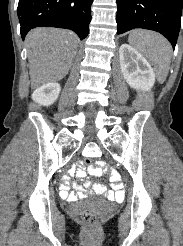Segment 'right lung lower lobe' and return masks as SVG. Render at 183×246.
<instances>
[{
  "instance_id": "1",
  "label": "right lung lower lobe",
  "mask_w": 183,
  "mask_h": 246,
  "mask_svg": "<svg viewBox=\"0 0 183 246\" xmlns=\"http://www.w3.org/2000/svg\"><path fill=\"white\" fill-rule=\"evenodd\" d=\"M93 0H19L17 14L24 40L29 30L52 26L73 30L81 40L89 33Z\"/></svg>"
}]
</instances>
